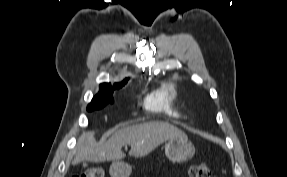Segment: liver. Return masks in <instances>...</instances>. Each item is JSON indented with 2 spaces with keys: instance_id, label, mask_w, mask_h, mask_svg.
Instances as JSON below:
<instances>
[{
  "instance_id": "6515ba94",
  "label": "liver",
  "mask_w": 287,
  "mask_h": 177,
  "mask_svg": "<svg viewBox=\"0 0 287 177\" xmlns=\"http://www.w3.org/2000/svg\"><path fill=\"white\" fill-rule=\"evenodd\" d=\"M175 138H187L179 128L161 121H150L124 127L106 141L96 144L93 132L83 133L78 139L76 156L72 164L81 161L105 162L118 161L125 158L121 151L125 145H130L129 155L143 157L152 152L160 144Z\"/></svg>"
}]
</instances>
